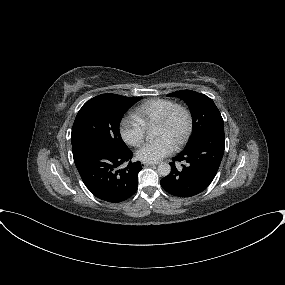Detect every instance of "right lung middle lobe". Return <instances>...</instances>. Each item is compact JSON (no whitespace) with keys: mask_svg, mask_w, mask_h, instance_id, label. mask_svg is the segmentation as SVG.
Returning <instances> with one entry per match:
<instances>
[{"mask_svg":"<svg viewBox=\"0 0 285 285\" xmlns=\"http://www.w3.org/2000/svg\"><path fill=\"white\" fill-rule=\"evenodd\" d=\"M140 99L107 93L87 101L75 118L72 146L91 142L115 152L129 150L121 138L119 125L125 112Z\"/></svg>","mask_w":285,"mask_h":285,"instance_id":"1","label":"right lung middle lobe"}]
</instances>
